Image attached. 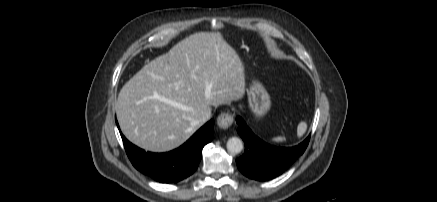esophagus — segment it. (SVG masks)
<instances>
[{
    "label": "esophagus",
    "instance_id": "esophagus-1",
    "mask_svg": "<svg viewBox=\"0 0 437 202\" xmlns=\"http://www.w3.org/2000/svg\"><path fill=\"white\" fill-rule=\"evenodd\" d=\"M233 123V116L229 113H221L217 118V124L222 129L229 128Z\"/></svg>",
    "mask_w": 437,
    "mask_h": 202
}]
</instances>
